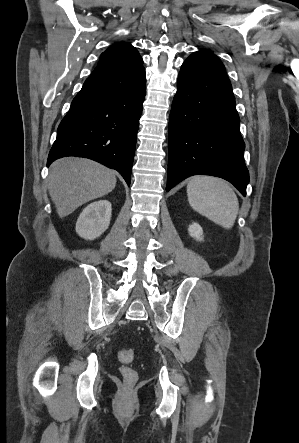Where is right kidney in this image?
I'll use <instances>...</instances> for the list:
<instances>
[{
    "mask_svg": "<svg viewBox=\"0 0 299 443\" xmlns=\"http://www.w3.org/2000/svg\"><path fill=\"white\" fill-rule=\"evenodd\" d=\"M111 211V203L107 200L88 205L76 222L77 234L87 240L99 237L109 226Z\"/></svg>",
    "mask_w": 299,
    "mask_h": 443,
    "instance_id": "right-kidney-1",
    "label": "right kidney"
}]
</instances>
